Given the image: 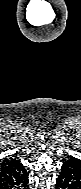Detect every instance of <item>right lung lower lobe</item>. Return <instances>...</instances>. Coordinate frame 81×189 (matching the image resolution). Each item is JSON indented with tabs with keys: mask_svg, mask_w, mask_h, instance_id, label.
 I'll list each match as a JSON object with an SVG mask.
<instances>
[{
	"mask_svg": "<svg viewBox=\"0 0 81 189\" xmlns=\"http://www.w3.org/2000/svg\"><path fill=\"white\" fill-rule=\"evenodd\" d=\"M28 175L19 161L0 168V189H29Z\"/></svg>",
	"mask_w": 81,
	"mask_h": 189,
	"instance_id": "98d812e1",
	"label": "right lung lower lobe"
}]
</instances>
